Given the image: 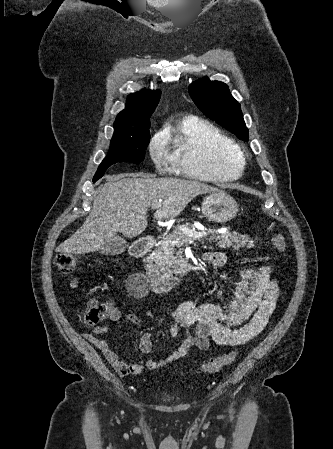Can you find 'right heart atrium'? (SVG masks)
Instances as JSON below:
<instances>
[{
    "label": "right heart atrium",
    "instance_id": "obj_1",
    "mask_svg": "<svg viewBox=\"0 0 333 449\" xmlns=\"http://www.w3.org/2000/svg\"><path fill=\"white\" fill-rule=\"evenodd\" d=\"M149 153L157 166L163 165L169 158L166 150V140L161 135L152 138L149 144Z\"/></svg>",
    "mask_w": 333,
    "mask_h": 449
}]
</instances>
